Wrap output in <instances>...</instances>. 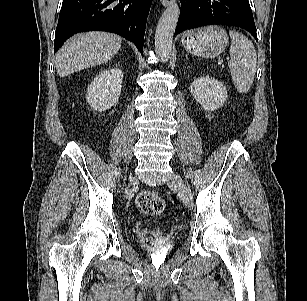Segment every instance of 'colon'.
Returning a JSON list of instances; mask_svg holds the SVG:
<instances>
[{"label": "colon", "instance_id": "obj_1", "mask_svg": "<svg viewBox=\"0 0 307 301\" xmlns=\"http://www.w3.org/2000/svg\"><path fill=\"white\" fill-rule=\"evenodd\" d=\"M138 210L148 216H155L163 212L165 202L163 198L154 191L141 192L137 199ZM142 243L151 252H156L161 246V239L158 231L151 229L143 230Z\"/></svg>", "mask_w": 307, "mask_h": 301}]
</instances>
